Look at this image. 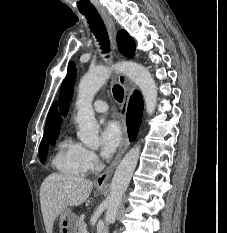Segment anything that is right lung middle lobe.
I'll use <instances>...</instances> for the list:
<instances>
[{
    "label": "right lung middle lobe",
    "instance_id": "obj_1",
    "mask_svg": "<svg viewBox=\"0 0 227 233\" xmlns=\"http://www.w3.org/2000/svg\"><path fill=\"white\" fill-rule=\"evenodd\" d=\"M48 145L49 144H41L40 145V160L42 163H45V158L47 156V152H48Z\"/></svg>",
    "mask_w": 227,
    "mask_h": 233
}]
</instances>
